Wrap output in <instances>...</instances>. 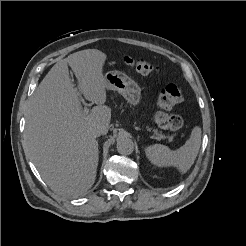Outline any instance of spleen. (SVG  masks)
I'll use <instances>...</instances> for the list:
<instances>
[{
    "label": "spleen",
    "mask_w": 246,
    "mask_h": 246,
    "mask_svg": "<svg viewBox=\"0 0 246 246\" xmlns=\"http://www.w3.org/2000/svg\"><path fill=\"white\" fill-rule=\"evenodd\" d=\"M201 145V128L195 126L190 138L179 149L173 151L162 144L146 147L145 153L149 161L159 167L175 166L184 174L194 163Z\"/></svg>",
    "instance_id": "spleen-1"
}]
</instances>
